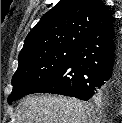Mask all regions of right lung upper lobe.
<instances>
[{
    "label": "right lung upper lobe",
    "mask_w": 122,
    "mask_h": 123,
    "mask_svg": "<svg viewBox=\"0 0 122 123\" xmlns=\"http://www.w3.org/2000/svg\"><path fill=\"white\" fill-rule=\"evenodd\" d=\"M111 21L110 11L100 0H60L29 32L19 60L55 50L77 49Z\"/></svg>",
    "instance_id": "cb5924a9"
}]
</instances>
